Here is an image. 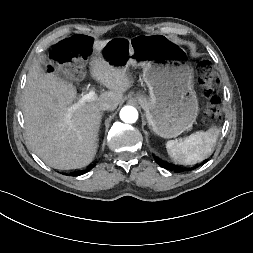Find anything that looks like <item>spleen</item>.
I'll list each match as a JSON object with an SVG mask.
<instances>
[{
    "instance_id": "3e777b00",
    "label": "spleen",
    "mask_w": 253,
    "mask_h": 253,
    "mask_svg": "<svg viewBox=\"0 0 253 253\" xmlns=\"http://www.w3.org/2000/svg\"><path fill=\"white\" fill-rule=\"evenodd\" d=\"M219 129L212 127L198 131L181 141L170 140L166 143L169 156L178 164H196L211 155L219 135Z\"/></svg>"
}]
</instances>
